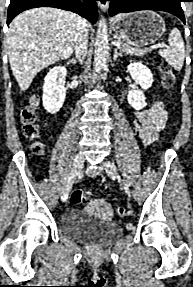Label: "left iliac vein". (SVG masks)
<instances>
[{
    "label": "left iliac vein",
    "mask_w": 193,
    "mask_h": 287,
    "mask_svg": "<svg viewBox=\"0 0 193 287\" xmlns=\"http://www.w3.org/2000/svg\"><path fill=\"white\" fill-rule=\"evenodd\" d=\"M103 166H104V169H105L107 175L110 178H118V180L122 182V185H123L126 193L128 194V196H130L129 187H128L127 183L121 178V175H120L116 165L114 163L108 161V160H105L103 162Z\"/></svg>",
    "instance_id": "1"
}]
</instances>
